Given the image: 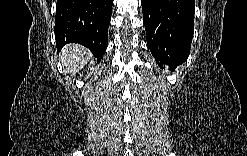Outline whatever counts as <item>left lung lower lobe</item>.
Wrapping results in <instances>:
<instances>
[{
	"mask_svg": "<svg viewBox=\"0 0 247 156\" xmlns=\"http://www.w3.org/2000/svg\"><path fill=\"white\" fill-rule=\"evenodd\" d=\"M147 44L158 64L185 62L194 32V0H141Z\"/></svg>",
	"mask_w": 247,
	"mask_h": 156,
	"instance_id": "left-lung-lower-lobe-1",
	"label": "left lung lower lobe"
}]
</instances>
